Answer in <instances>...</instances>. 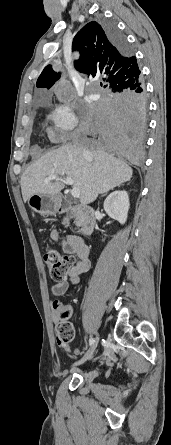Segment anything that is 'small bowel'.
Here are the masks:
<instances>
[{"instance_id": "small-bowel-1", "label": "small bowel", "mask_w": 171, "mask_h": 445, "mask_svg": "<svg viewBox=\"0 0 171 445\" xmlns=\"http://www.w3.org/2000/svg\"><path fill=\"white\" fill-rule=\"evenodd\" d=\"M51 239L58 244L61 250L67 255H75L77 262L67 271L68 280L57 283L53 286V292L56 295L64 294L70 285L77 284L79 282L80 275L87 272L90 269V251L84 242L76 235H67L61 237L57 229H53L50 232ZM58 304L56 302L52 305V321L57 323L59 321V314L57 311ZM68 316L71 315V310L68 309ZM64 351L70 352L71 347L68 345L63 346ZM75 353H78L77 348L74 349Z\"/></svg>"}]
</instances>
